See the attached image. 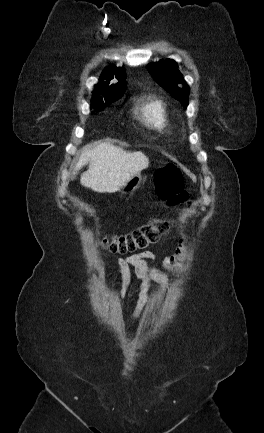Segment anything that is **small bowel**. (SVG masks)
<instances>
[{
  "label": "small bowel",
  "mask_w": 264,
  "mask_h": 433,
  "mask_svg": "<svg viewBox=\"0 0 264 433\" xmlns=\"http://www.w3.org/2000/svg\"><path fill=\"white\" fill-rule=\"evenodd\" d=\"M184 244V241H182ZM158 255L152 251H145L142 253L134 254L125 258H118L117 265L123 274V284L120 291V299H123L127 294V289L129 286V268L132 267L136 276L142 280V288L140 297L138 300V305L134 313V318H137L147 300V289L148 283L151 279L157 280L163 286H168V279L161 273L157 272L155 269L150 267L147 263L148 260L156 259ZM181 251H178L175 255L166 257L162 259V264L167 268H172L180 262Z\"/></svg>",
  "instance_id": "obj_1"
}]
</instances>
